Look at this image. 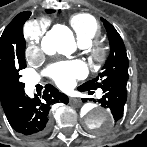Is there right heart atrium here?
<instances>
[{
	"label": "right heart atrium",
	"mask_w": 147,
	"mask_h": 147,
	"mask_svg": "<svg viewBox=\"0 0 147 147\" xmlns=\"http://www.w3.org/2000/svg\"><path fill=\"white\" fill-rule=\"evenodd\" d=\"M46 30V23L44 21H35L29 24L27 29V36L29 45L27 48V55L32 57L41 52V40Z\"/></svg>",
	"instance_id": "1"
}]
</instances>
